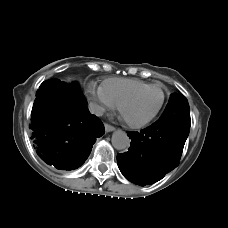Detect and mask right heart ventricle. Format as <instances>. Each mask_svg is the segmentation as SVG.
<instances>
[{
  "label": "right heart ventricle",
  "mask_w": 228,
  "mask_h": 228,
  "mask_svg": "<svg viewBox=\"0 0 228 228\" xmlns=\"http://www.w3.org/2000/svg\"><path fill=\"white\" fill-rule=\"evenodd\" d=\"M148 86L150 84L138 79L109 78L102 82L101 89L114 105H118L125 96Z\"/></svg>",
  "instance_id": "1"
}]
</instances>
